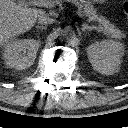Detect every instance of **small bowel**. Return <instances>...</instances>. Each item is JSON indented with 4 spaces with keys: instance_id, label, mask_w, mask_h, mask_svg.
<instances>
[{
    "instance_id": "obj_1",
    "label": "small bowel",
    "mask_w": 128,
    "mask_h": 128,
    "mask_svg": "<svg viewBox=\"0 0 128 128\" xmlns=\"http://www.w3.org/2000/svg\"><path fill=\"white\" fill-rule=\"evenodd\" d=\"M93 2H96V3H103L105 2L106 0H92Z\"/></svg>"
}]
</instances>
